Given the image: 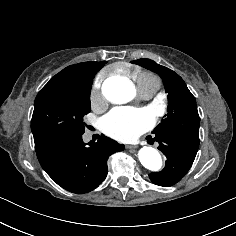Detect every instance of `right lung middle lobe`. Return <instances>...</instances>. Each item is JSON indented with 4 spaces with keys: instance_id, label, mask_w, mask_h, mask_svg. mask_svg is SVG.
Here are the masks:
<instances>
[{
    "instance_id": "1",
    "label": "right lung middle lobe",
    "mask_w": 236,
    "mask_h": 236,
    "mask_svg": "<svg viewBox=\"0 0 236 236\" xmlns=\"http://www.w3.org/2000/svg\"><path fill=\"white\" fill-rule=\"evenodd\" d=\"M91 84L44 86L34 102L31 130L34 139L52 134H83L84 115L90 112Z\"/></svg>"
}]
</instances>
